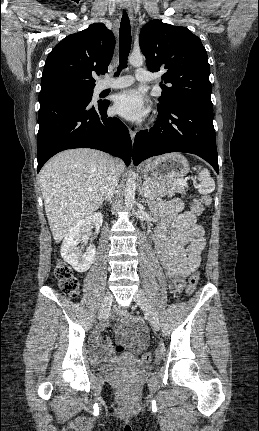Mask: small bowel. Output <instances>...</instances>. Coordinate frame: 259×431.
<instances>
[{
	"label": "small bowel",
	"mask_w": 259,
	"mask_h": 431,
	"mask_svg": "<svg viewBox=\"0 0 259 431\" xmlns=\"http://www.w3.org/2000/svg\"><path fill=\"white\" fill-rule=\"evenodd\" d=\"M155 212L162 221L155 232V251L169 287L173 293L183 289L185 278L201 263V255L206 246L205 231L196 223L192 210H183L178 199L161 202ZM172 228L168 231V226ZM116 331V339L126 345L133 354H140L148 343L146 322L142 317L132 316L124 311L111 323ZM107 327L104 323L101 329ZM93 347L98 358H107L112 341H101L99 334L93 337Z\"/></svg>",
	"instance_id": "small-bowel-1"
}]
</instances>
